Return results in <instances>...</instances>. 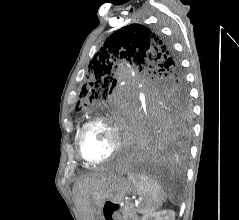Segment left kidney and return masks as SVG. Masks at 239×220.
<instances>
[{"label":"left kidney","instance_id":"1","mask_svg":"<svg viewBox=\"0 0 239 220\" xmlns=\"http://www.w3.org/2000/svg\"><path fill=\"white\" fill-rule=\"evenodd\" d=\"M141 220H175V212L171 210L152 211L146 213Z\"/></svg>","mask_w":239,"mask_h":220}]
</instances>
